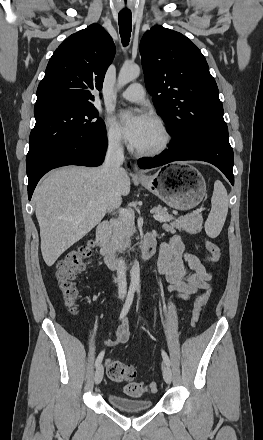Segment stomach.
I'll return each mask as SVG.
<instances>
[{
    "instance_id": "0dacf381",
    "label": "stomach",
    "mask_w": 263,
    "mask_h": 440,
    "mask_svg": "<svg viewBox=\"0 0 263 440\" xmlns=\"http://www.w3.org/2000/svg\"><path fill=\"white\" fill-rule=\"evenodd\" d=\"M171 169L173 173L166 169L141 179L140 183L174 209L190 210L196 207L206 194L203 176L192 166L185 169L173 166Z\"/></svg>"
}]
</instances>
